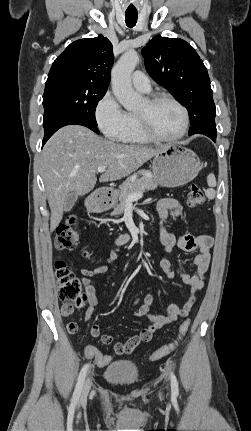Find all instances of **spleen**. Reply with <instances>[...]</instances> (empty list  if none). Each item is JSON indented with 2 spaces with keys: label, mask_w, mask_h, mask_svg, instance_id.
<instances>
[{
  "label": "spleen",
  "mask_w": 251,
  "mask_h": 431,
  "mask_svg": "<svg viewBox=\"0 0 251 431\" xmlns=\"http://www.w3.org/2000/svg\"><path fill=\"white\" fill-rule=\"evenodd\" d=\"M207 184L210 188L205 192V194L209 199H214L216 192L213 188L216 186L217 183H216L215 175L213 173H210L207 176Z\"/></svg>",
  "instance_id": "obj_1"
}]
</instances>
